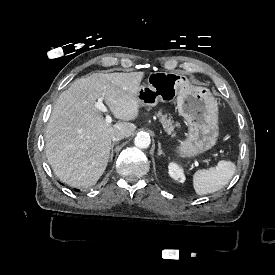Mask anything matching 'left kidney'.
<instances>
[{
  "label": "left kidney",
  "instance_id": "left-kidney-1",
  "mask_svg": "<svg viewBox=\"0 0 275 275\" xmlns=\"http://www.w3.org/2000/svg\"><path fill=\"white\" fill-rule=\"evenodd\" d=\"M169 173L174 179L180 180L181 182L184 181V176L181 170L175 164L169 165Z\"/></svg>",
  "mask_w": 275,
  "mask_h": 275
}]
</instances>
